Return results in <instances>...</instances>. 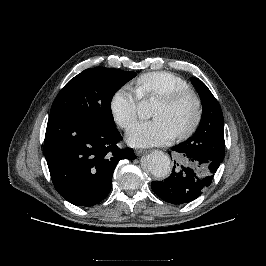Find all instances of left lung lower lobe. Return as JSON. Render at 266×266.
<instances>
[{"mask_svg":"<svg viewBox=\"0 0 266 266\" xmlns=\"http://www.w3.org/2000/svg\"><path fill=\"white\" fill-rule=\"evenodd\" d=\"M172 150L184 156V164L179 168L174 166L171 175L164 181H153L151 188L166 202L188 203L199 197L203 190L211 184L220 163L200 154L189 152L181 144L173 147Z\"/></svg>","mask_w":266,"mask_h":266,"instance_id":"1","label":"left lung lower lobe"}]
</instances>
